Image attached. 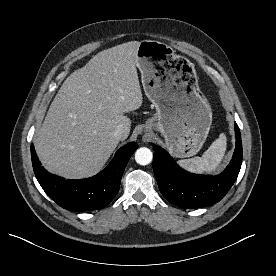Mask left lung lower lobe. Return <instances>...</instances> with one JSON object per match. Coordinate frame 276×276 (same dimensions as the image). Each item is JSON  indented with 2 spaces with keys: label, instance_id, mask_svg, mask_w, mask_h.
I'll list each match as a JSON object with an SVG mask.
<instances>
[{
  "label": "left lung lower lobe",
  "instance_id": "1",
  "mask_svg": "<svg viewBox=\"0 0 276 276\" xmlns=\"http://www.w3.org/2000/svg\"><path fill=\"white\" fill-rule=\"evenodd\" d=\"M236 147L231 162L219 175L192 174L181 169L159 146H155L153 170L162 195L181 208H200L219 202L232 187L242 164V142L235 123Z\"/></svg>",
  "mask_w": 276,
  "mask_h": 276
}]
</instances>
